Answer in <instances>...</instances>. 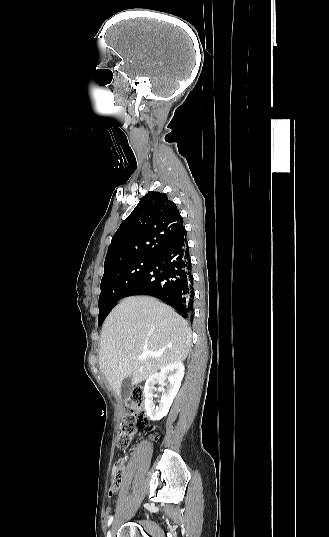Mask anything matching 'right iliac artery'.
I'll list each match as a JSON object with an SVG mask.
<instances>
[{
    "instance_id": "obj_1",
    "label": "right iliac artery",
    "mask_w": 329,
    "mask_h": 537,
    "mask_svg": "<svg viewBox=\"0 0 329 537\" xmlns=\"http://www.w3.org/2000/svg\"><path fill=\"white\" fill-rule=\"evenodd\" d=\"M112 521H113V516H111V517L109 518V520H108V527L111 525Z\"/></svg>"
}]
</instances>
